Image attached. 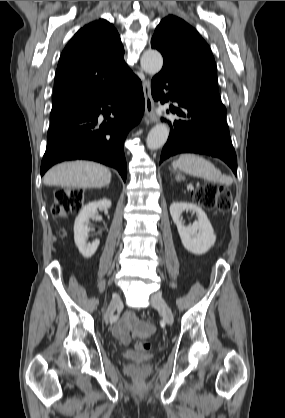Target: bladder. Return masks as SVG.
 <instances>
[{
    "label": "bladder",
    "mask_w": 285,
    "mask_h": 418,
    "mask_svg": "<svg viewBox=\"0 0 285 418\" xmlns=\"http://www.w3.org/2000/svg\"><path fill=\"white\" fill-rule=\"evenodd\" d=\"M151 355L148 353H139L134 350H129L124 353V358L132 363L146 362L151 359Z\"/></svg>",
    "instance_id": "bladder-1"
}]
</instances>
